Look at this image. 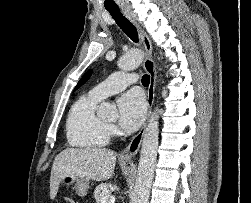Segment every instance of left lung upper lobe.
Wrapping results in <instances>:
<instances>
[{
	"label": "left lung upper lobe",
	"instance_id": "left-lung-upper-lobe-1",
	"mask_svg": "<svg viewBox=\"0 0 251 203\" xmlns=\"http://www.w3.org/2000/svg\"><path fill=\"white\" fill-rule=\"evenodd\" d=\"M91 74V70L88 71L82 78L81 80L78 82L77 86L75 89H78L83 83H85L87 81V79L90 77Z\"/></svg>",
	"mask_w": 251,
	"mask_h": 203
}]
</instances>
